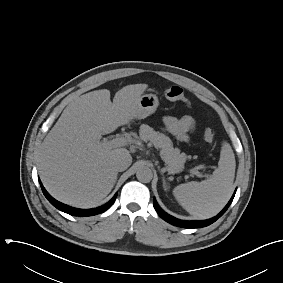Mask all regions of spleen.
Returning <instances> with one entry per match:
<instances>
[{
    "label": "spleen",
    "instance_id": "spleen-1",
    "mask_svg": "<svg viewBox=\"0 0 283 283\" xmlns=\"http://www.w3.org/2000/svg\"><path fill=\"white\" fill-rule=\"evenodd\" d=\"M236 161L229 143L223 142L218 168L212 176L201 182H188L176 186L173 195L191 215L208 218L217 214L228 202L235 177Z\"/></svg>",
    "mask_w": 283,
    "mask_h": 283
}]
</instances>
